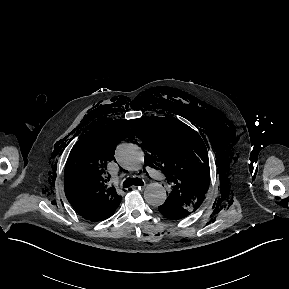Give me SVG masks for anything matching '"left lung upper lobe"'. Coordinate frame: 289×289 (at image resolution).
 Here are the masks:
<instances>
[{"instance_id":"5c2ea615","label":"left lung upper lobe","mask_w":289,"mask_h":289,"mask_svg":"<svg viewBox=\"0 0 289 289\" xmlns=\"http://www.w3.org/2000/svg\"><path fill=\"white\" fill-rule=\"evenodd\" d=\"M147 163L162 168L174 186L166 204L196 211L209 187V161L201 137L189 126L172 118L138 120Z\"/></svg>"}]
</instances>
